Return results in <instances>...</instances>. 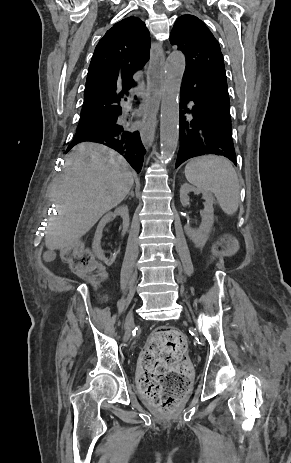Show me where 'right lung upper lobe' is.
I'll use <instances>...</instances> for the list:
<instances>
[{"instance_id": "1", "label": "right lung upper lobe", "mask_w": 291, "mask_h": 463, "mask_svg": "<svg viewBox=\"0 0 291 463\" xmlns=\"http://www.w3.org/2000/svg\"><path fill=\"white\" fill-rule=\"evenodd\" d=\"M149 53V31L142 20L129 17L114 24L92 56L80 120L119 111V99L135 86L132 75L149 60Z\"/></svg>"}]
</instances>
